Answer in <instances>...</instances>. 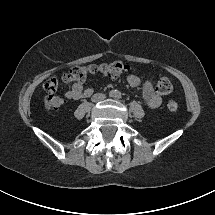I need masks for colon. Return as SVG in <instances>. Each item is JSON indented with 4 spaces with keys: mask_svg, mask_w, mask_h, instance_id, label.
Wrapping results in <instances>:
<instances>
[{
    "mask_svg": "<svg viewBox=\"0 0 215 215\" xmlns=\"http://www.w3.org/2000/svg\"><path fill=\"white\" fill-rule=\"evenodd\" d=\"M129 70V66L123 62H111L100 65L91 64L88 66H77L64 73L61 79L50 78L44 83V90L47 95L44 99V106L47 110H54L60 108L64 101L61 97L56 95L60 83L83 82L88 75L101 74L112 78L124 75ZM156 90L161 94H169L173 90L171 81L166 77H160L155 84ZM166 108L170 112H176L179 104L175 99H168Z\"/></svg>",
    "mask_w": 215,
    "mask_h": 215,
    "instance_id": "obj_1",
    "label": "colon"
}]
</instances>
